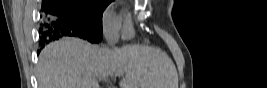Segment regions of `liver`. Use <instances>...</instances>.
<instances>
[{
    "label": "liver",
    "instance_id": "obj_1",
    "mask_svg": "<svg viewBox=\"0 0 267 88\" xmlns=\"http://www.w3.org/2000/svg\"><path fill=\"white\" fill-rule=\"evenodd\" d=\"M125 77L121 88H178V74L164 52L128 45L111 50L66 37L47 45L39 55V88H100L98 81L114 73Z\"/></svg>",
    "mask_w": 267,
    "mask_h": 88
}]
</instances>
